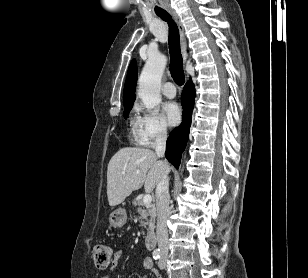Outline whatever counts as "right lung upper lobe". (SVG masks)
<instances>
[{
	"instance_id": "cb5924a9",
	"label": "right lung upper lobe",
	"mask_w": 308,
	"mask_h": 278,
	"mask_svg": "<svg viewBox=\"0 0 308 278\" xmlns=\"http://www.w3.org/2000/svg\"><path fill=\"white\" fill-rule=\"evenodd\" d=\"M136 79H137V67L136 62L133 60L129 66L127 78L124 86V96L123 102L124 104H133L135 101V86H136Z\"/></svg>"
}]
</instances>
